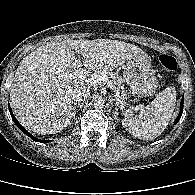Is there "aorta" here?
Wrapping results in <instances>:
<instances>
[{
	"label": "aorta",
	"mask_w": 195,
	"mask_h": 195,
	"mask_svg": "<svg viewBox=\"0 0 195 195\" xmlns=\"http://www.w3.org/2000/svg\"><path fill=\"white\" fill-rule=\"evenodd\" d=\"M104 104H105L104 100L101 97H99L94 100L93 106L95 108H103Z\"/></svg>",
	"instance_id": "obj_1"
}]
</instances>
